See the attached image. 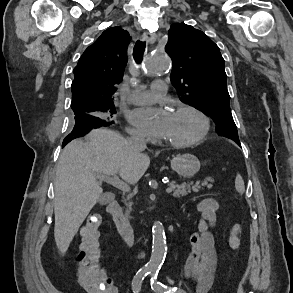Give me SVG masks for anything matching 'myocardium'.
Masks as SVG:
<instances>
[{
    "label": "myocardium",
    "mask_w": 293,
    "mask_h": 293,
    "mask_svg": "<svg viewBox=\"0 0 293 293\" xmlns=\"http://www.w3.org/2000/svg\"><path fill=\"white\" fill-rule=\"evenodd\" d=\"M181 111H187L195 114L201 121V130L199 134L194 137L193 139L187 140V141H169L165 140V144L170 146V147H175V148H186V147H191L194 145H197L201 143L208 135L210 131V120L206 116L205 113H203L201 110L198 108L188 105V104H182L179 105L178 107L175 108L174 112H181Z\"/></svg>",
    "instance_id": "f54148a6"
}]
</instances>
